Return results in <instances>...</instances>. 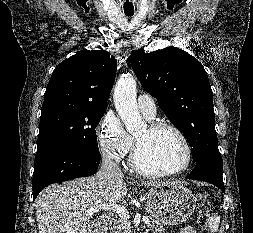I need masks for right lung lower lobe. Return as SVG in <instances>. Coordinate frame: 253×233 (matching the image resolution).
<instances>
[{
    "label": "right lung lower lobe",
    "mask_w": 253,
    "mask_h": 233,
    "mask_svg": "<svg viewBox=\"0 0 253 233\" xmlns=\"http://www.w3.org/2000/svg\"><path fill=\"white\" fill-rule=\"evenodd\" d=\"M101 155L50 145L37 150L33 174V200L49 184L93 175Z\"/></svg>",
    "instance_id": "1"
}]
</instances>
